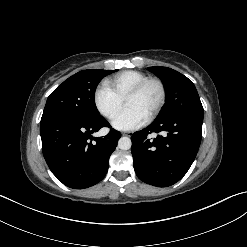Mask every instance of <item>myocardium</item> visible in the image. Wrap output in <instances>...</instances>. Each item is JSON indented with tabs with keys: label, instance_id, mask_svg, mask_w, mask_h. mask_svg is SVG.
Instances as JSON below:
<instances>
[{
	"label": "myocardium",
	"instance_id": "f54148a6",
	"mask_svg": "<svg viewBox=\"0 0 247 247\" xmlns=\"http://www.w3.org/2000/svg\"><path fill=\"white\" fill-rule=\"evenodd\" d=\"M150 84L157 85L160 91L159 101L148 116V120H153L161 112L162 108L164 107L166 103V99H167V89H166L164 82L160 78L148 77L147 79L141 81L126 94L124 98V102H126L131 97L139 95Z\"/></svg>",
	"mask_w": 247,
	"mask_h": 247
}]
</instances>
